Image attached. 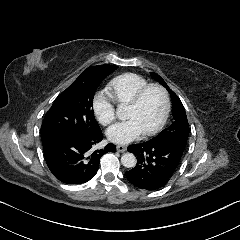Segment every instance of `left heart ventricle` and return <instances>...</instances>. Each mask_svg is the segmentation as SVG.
I'll return each instance as SVG.
<instances>
[{
	"mask_svg": "<svg viewBox=\"0 0 240 240\" xmlns=\"http://www.w3.org/2000/svg\"><path fill=\"white\" fill-rule=\"evenodd\" d=\"M162 111V95L157 89H151L145 93L137 108L124 110V119L134 120L141 131H148L157 125Z\"/></svg>",
	"mask_w": 240,
	"mask_h": 240,
	"instance_id": "obj_1",
	"label": "left heart ventricle"
}]
</instances>
